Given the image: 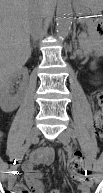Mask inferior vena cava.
<instances>
[{
  "label": "inferior vena cava",
  "mask_w": 103,
  "mask_h": 193,
  "mask_svg": "<svg viewBox=\"0 0 103 193\" xmlns=\"http://www.w3.org/2000/svg\"><path fill=\"white\" fill-rule=\"evenodd\" d=\"M30 33L33 40H37L42 34V20L41 16L34 12L30 20Z\"/></svg>",
  "instance_id": "602c4592"
}]
</instances>
